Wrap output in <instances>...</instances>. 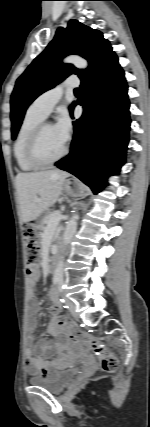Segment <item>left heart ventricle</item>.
Masks as SVG:
<instances>
[{
    "label": "left heart ventricle",
    "mask_w": 150,
    "mask_h": 427,
    "mask_svg": "<svg viewBox=\"0 0 150 427\" xmlns=\"http://www.w3.org/2000/svg\"><path fill=\"white\" fill-rule=\"evenodd\" d=\"M60 135L53 125L44 129L38 146V155L42 160H51L57 157L65 148Z\"/></svg>",
    "instance_id": "left-heart-ventricle-1"
}]
</instances>
